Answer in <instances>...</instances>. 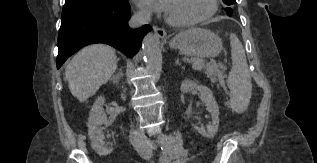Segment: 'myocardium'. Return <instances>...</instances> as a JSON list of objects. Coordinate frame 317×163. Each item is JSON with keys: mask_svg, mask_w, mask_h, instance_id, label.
Wrapping results in <instances>:
<instances>
[{"mask_svg": "<svg viewBox=\"0 0 317 163\" xmlns=\"http://www.w3.org/2000/svg\"><path fill=\"white\" fill-rule=\"evenodd\" d=\"M217 10H218V0H209V9L202 16H199L195 19L188 20V21H175L170 19L167 15H165V21L170 26L177 27V28L192 27L212 18L216 14Z\"/></svg>", "mask_w": 317, "mask_h": 163, "instance_id": "f54148a6", "label": "myocardium"}]
</instances>
